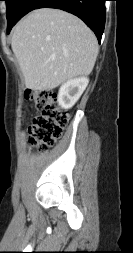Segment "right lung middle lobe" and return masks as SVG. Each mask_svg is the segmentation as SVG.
Instances as JSON below:
<instances>
[{"instance_id":"obj_1","label":"right lung middle lobe","mask_w":133,"mask_h":253,"mask_svg":"<svg viewBox=\"0 0 133 253\" xmlns=\"http://www.w3.org/2000/svg\"><path fill=\"white\" fill-rule=\"evenodd\" d=\"M6 2V15H7V33L18 21V16L22 3L25 0H4Z\"/></svg>"}]
</instances>
